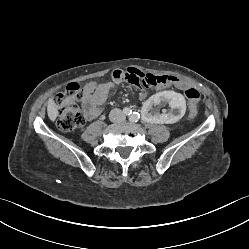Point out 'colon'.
<instances>
[{"label": "colon", "instance_id": "5ec220e1", "mask_svg": "<svg viewBox=\"0 0 249 249\" xmlns=\"http://www.w3.org/2000/svg\"><path fill=\"white\" fill-rule=\"evenodd\" d=\"M174 83L184 90L189 103V117L194 120L198 115V103L200 93L196 88L173 76H156L145 74L142 86L146 89L159 87L164 84ZM131 84V83H130ZM85 92L77 83H70L65 90L58 93L54 98V104L58 111V127L65 132H74L85 123V116L77 106V102L83 98Z\"/></svg>", "mask_w": 249, "mask_h": 249}]
</instances>
